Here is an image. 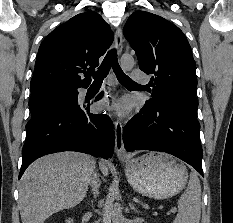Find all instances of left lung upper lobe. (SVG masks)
<instances>
[{
	"label": "left lung upper lobe",
	"mask_w": 233,
	"mask_h": 223,
	"mask_svg": "<svg viewBox=\"0 0 233 223\" xmlns=\"http://www.w3.org/2000/svg\"><path fill=\"white\" fill-rule=\"evenodd\" d=\"M123 33L136 52L139 68L153 75L151 99L144 107L197 110L196 64L183 32L158 15L136 11Z\"/></svg>",
	"instance_id": "1"
}]
</instances>
